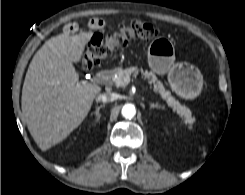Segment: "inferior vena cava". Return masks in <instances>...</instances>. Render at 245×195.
Returning a JSON list of instances; mask_svg holds the SVG:
<instances>
[{
    "instance_id": "inferior-vena-cava-1",
    "label": "inferior vena cava",
    "mask_w": 245,
    "mask_h": 195,
    "mask_svg": "<svg viewBox=\"0 0 245 195\" xmlns=\"http://www.w3.org/2000/svg\"><path fill=\"white\" fill-rule=\"evenodd\" d=\"M116 99H117V95L115 93H111V92L102 93L96 97L97 102H104V103L111 102V101H114Z\"/></svg>"
}]
</instances>
